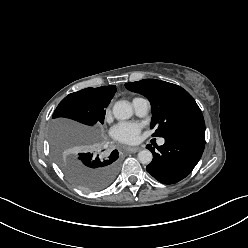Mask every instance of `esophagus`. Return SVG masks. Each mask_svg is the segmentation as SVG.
Segmentation results:
<instances>
[{"label":"esophagus","mask_w":248,"mask_h":248,"mask_svg":"<svg viewBox=\"0 0 248 248\" xmlns=\"http://www.w3.org/2000/svg\"><path fill=\"white\" fill-rule=\"evenodd\" d=\"M141 148L139 147H127L126 150L130 153H136L140 150Z\"/></svg>","instance_id":"1"}]
</instances>
